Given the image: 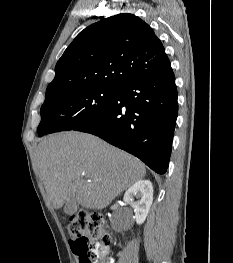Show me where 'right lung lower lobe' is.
Returning <instances> with one entry per match:
<instances>
[{"label":"right lung lower lobe","mask_w":233,"mask_h":263,"mask_svg":"<svg viewBox=\"0 0 233 263\" xmlns=\"http://www.w3.org/2000/svg\"><path fill=\"white\" fill-rule=\"evenodd\" d=\"M177 97L170 67L162 74L118 87L105 110L72 130L99 136L164 174L171 155Z\"/></svg>","instance_id":"1"}]
</instances>
